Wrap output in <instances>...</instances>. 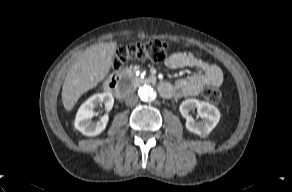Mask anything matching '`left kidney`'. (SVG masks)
Masks as SVG:
<instances>
[{
    "instance_id": "5707ae66",
    "label": "left kidney",
    "mask_w": 292,
    "mask_h": 192,
    "mask_svg": "<svg viewBox=\"0 0 292 192\" xmlns=\"http://www.w3.org/2000/svg\"><path fill=\"white\" fill-rule=\"evenodd\" d=\"M195 108L199 116L203 118L201 122H196L189 114L190 110ZM179 111L186 119V128L200 136L208 135L220 120V112L214 105L197 99H186L180 104Z\"/></svg>"
}]
</instances>
